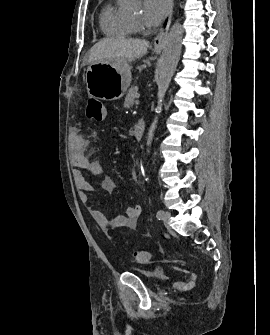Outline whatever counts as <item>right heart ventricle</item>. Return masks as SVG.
Returning <instances> with one entry per match:
<instances>
[{
  "instance_id": "e07e8e85",
  "label": "right heart ventricle",
  "mask_w": 270,
  "mask_h": 335,
  "mask_svg": "<svg viewBox=\"0 0 270 335\" xmlns=\"http://www.w3.org/2000/svg\"><path fill=\"white\" fill-rule=\"evenodd\" d=\"M134 23L123 17L112 5L107 3L100 14V27L109 37H127L134 33Z\"/></svg>"
}]
</instances>
